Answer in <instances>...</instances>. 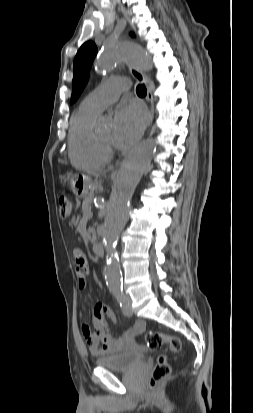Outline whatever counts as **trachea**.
I'll return each instance as SVG.
<instances>
[{"instance_id": "trachea-1", "label": "trachea", "mask_w": 253, "mask_h": 413, "mask_svg": "<svg viewBox=\"0 0 253 413\" xmlns=\"http://www.w3.org/2000/svg\"><path fill=\"white\" fill-rule=\"evenodd\" d=\"M136 92H137V94L140 95V96L146 95L147 90H146L145 85H138V86L136 87Z\"/></svg>"}]
</instances>
